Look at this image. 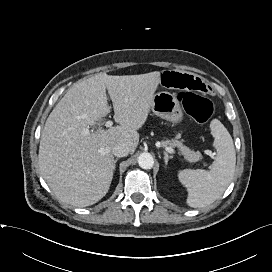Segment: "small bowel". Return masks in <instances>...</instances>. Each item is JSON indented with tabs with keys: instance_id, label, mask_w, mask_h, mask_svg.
I'll return each mask as SVG.
<instances>
[{
	"instance_id": "small-bowel-1",
	"label": "small bowel",
	"mask_w": 272,
	"mask_h": 272,
	"mask_svg": "<svg viewBox=\"0 0 272 272\" xmlns=\"http://www.w3.org/2000/svg\"><path fill=\"white\" fill-rule=\"evenodd\" d=\"M161 84L170 89L184 90L194 93H208L211 88L201 78L179 72V71H164L160 77Z\"/></svg>"
}]
</instances>
